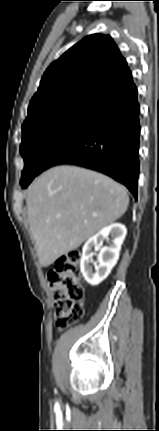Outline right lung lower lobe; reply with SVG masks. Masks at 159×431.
Returning <instances> with one entry per match:
<instances>
[{
	"label": "right lung lower lobe",
	"mask_w": 159,
	"mask_h": 431,
	"mask_svg": "<svg viewBox=\"0 0 159 431\" xmlns=\"http://www.w3.org/2000/svg\"><path fill=\"white\" fill-rule=\"evenodd\" d=\"M140 129L136 90L65 133L44 156L39 174L59 164L85 167L124 184L137 199Z\"/></svg>",
	"instance_id": "98d812e1"
}]
</instances>
